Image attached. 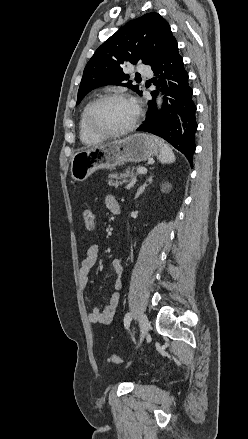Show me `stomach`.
Instances as JSON below:
<instances>
[{
	"label": "stomach",
	"instance_id": "obj_1",
	"mask_svg": "<svg viewBox=\"0 0 248 439\" xmlns=\"http://www.w3.org/2000/svg\"><path fill=\"white\" fill-rule=\"evenodd\" d=\"M164 142L137 133L124 139L77 151L71 160V176L82 182L99 169H111L125 162H141L160 154Z\"/></svg>",
	"mask_w": 248,
	"mask_h": 439
}]
</instances>
